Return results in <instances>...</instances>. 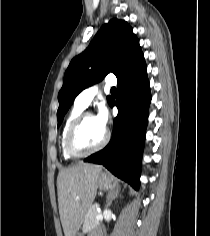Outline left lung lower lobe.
<instances>
[{
	"label": "left lung lower lobe",
	"instance_id": "0a47b994",
	"mask_svg": "<svg viewBox=\"0 0 210 236\" xmlns=\"http://www.w3.org/2000/svg\"><path fill=\"white\" fill-rule=\"evenodd\" d=\"M118 97L111 106H117L113 136L101 151L84 161L102 164L118 178L138 190L141 158L151 102L145 61L128 77L118 80Z\"/></svg>",
	"mask_w": 210,
	"mask_h": 236
}]
</instances>
